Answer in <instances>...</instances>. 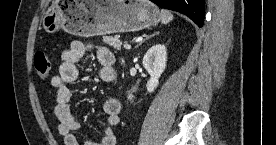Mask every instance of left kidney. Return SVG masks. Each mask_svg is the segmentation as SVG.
<instances>
[{
	"label": "left kidney",
	"mask_w": 276,
	"mask_h": 145,
	"mask_svg": "<svg viewBox=\"0 0 276 145\" xmlns=\"http://www.w3.org/2000/svg\"><path fill=\"white\" fill-rule=\"evenodd\" d=\"M143 66L150 75L146 88L153 92L159 83V78L165 70L167 63V51L165 45L157 44L152 46L143 57ZM133 95L129 94L128 99L132 100Z\"/></svg>",
	"instance_id": "1"
}]
</instances>
